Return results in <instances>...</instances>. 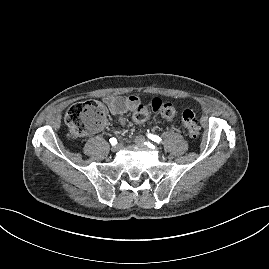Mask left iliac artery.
<instances>
[{
  "instance_id": "left-iliac-artery-1",
  "label": "left iliac artery",
  "mask_w": 269,
  "mask_h": 269,
  "mask_svg": "<svg viewBox=\"0 0 269 269\" xmlns=\"http://www.w3.org/2000/svg\"><path fill=\"white\" fill-rule=\"evenodd\" d=\"M147 137H148L149 139H151L152 141H154V142H157V143H160V142H161V138H160L159 136H157V135L148 133V134H147Z\"/></svg>"
}]
</instances>
